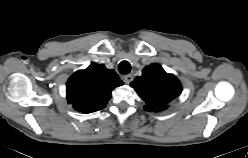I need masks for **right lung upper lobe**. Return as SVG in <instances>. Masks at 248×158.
Returning a JSON list of instances; mask_svg holds the SVG:
<instances>
[{"instance_id": "1", "label": "right lung upper lobe", "mask_w": 248, "mask_h": 158, "mask_svg": "<svg viewBox=\"0 0 248 158\" xmlns=\"http://www.w3.org/2000/svg\"><path fill=\"white\" fill-rule=\"evenodd\" d=\"M122 84L113 70L92 63L70 77L67 82V99L79 112H95L105 107L111 91Z\"/></svg>"}]
</instances>
